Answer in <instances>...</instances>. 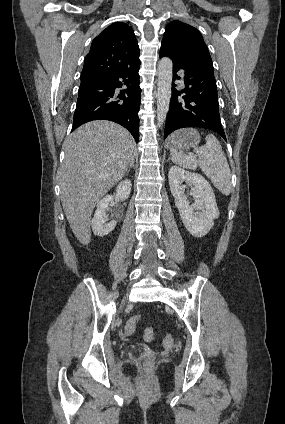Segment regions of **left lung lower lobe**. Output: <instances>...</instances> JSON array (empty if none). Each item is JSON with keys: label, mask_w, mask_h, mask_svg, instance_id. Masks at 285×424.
Here are the masks:
<instances>
[{"label": "left lung lower lobe", "mask_w": 285, "mask_h": 424, "mask_svg": "<svg viewBox=\"0 0 285 424\" xmlns=\"http://www.w3.org/2000/svg\"><path fill=\"white\" fill-rule=\"evenodd\" d=\"M160 57L173 62V86L170 108L166 118L164 139L173 131L185 127L211 129L225 140L221 126L217 86L212 60L203 57L182 58L161 45ZM185 71V88L177 90L174 80L177 71Z\"/></svg>", "instance_id": "1"}]
</instances>
